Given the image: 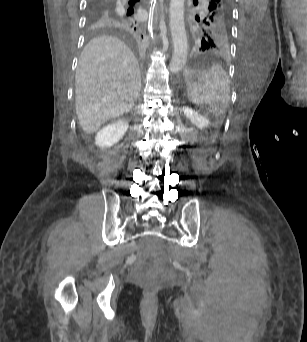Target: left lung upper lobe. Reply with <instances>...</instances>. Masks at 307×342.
<instances>
[{"label":"left lung upper lobe","mask_w":307,"mask_h":342,"mask_svg":"<svg viewBox=\"0 0 307 342\" xmlns=\"http://www.w3.org/2000/svg\"><path fill=\"white\" fill-rule=\"evenodd\" d=\"M194 0V5H197ZM194 41L200 51L223 54L227 51L231 32L228 0H206L200 16L195 17Z\"/></svg>","instance_id":"left-lung-upper-lobe-1"}]
</instances>
